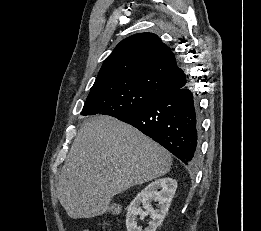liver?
I'll return each instance as SVG.
<instances>
[{"instance_id": "1", "label": "liver", "mask_w": 261, "mask_h": 231, "mask_svg": "<svg viewBox=\"0 0 261 231\" xmlns=\"http://www.w3.org/2000/svg\"><path fill=\"white\" fill-rule=\"evenodd\" d=\"M170 153L139 130L110 116L85 120L71 146L57 186L72 219L104 214L114 195L164 176Z\"/></svg>"}]
</instances>
